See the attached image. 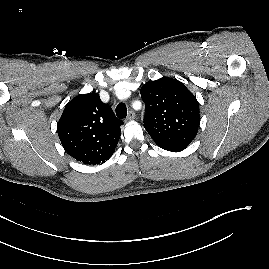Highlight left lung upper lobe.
I'll return each instance as SVG.
<instances>
[{
	"label": "left lung upper lobe",
	"instance_id": "5c2ea615",
	"mask_svg": "<svg viewBox=\"0 0 269 269\" xmlns=\"http://www.w3.org/2000/svg\"><path fill=\"white\" fill-rule=\"evenodd\" d=\"M145 102L144 127L159 147L188 146L200 124L199 104L186 86L160 78L141 87Z\"/></svg>",
	"mask_w": 269,
	"mask_h": 269
}]
</instances>
